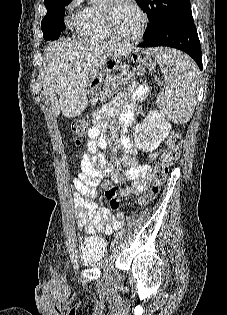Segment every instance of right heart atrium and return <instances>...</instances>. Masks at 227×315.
Here are the masks:
<instances>
[{"instance_id": "obj_1", "label": "right heart atrium", "mask_w": 227, "mask_h": 315, "mask_svg": "<svg viewBox=\"0 0 227 315\" xmlns=\"http://www.w3.org/2000/svg\"><path fill=\"white\" fill-rule=\"evenodd\" d=\"M80 1L81 0H72L70 2V4H69V7L72 8V7L76 6V5H78Z\"/></svg>"}]
</instances>
